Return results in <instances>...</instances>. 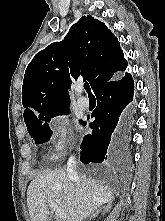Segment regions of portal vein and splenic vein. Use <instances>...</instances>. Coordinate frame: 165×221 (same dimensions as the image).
Returning a JSON list of instances; mask_svg holds the SVG:
<instances>
[{
    "mask_svg": "<svg viewBox=\"0 0 165 221\" xmlns=\"http://www.w3.org/2000/svg\"><path fill=\"white\" fill-rule=\"evenodd\" d=\"M49 206L50 208L54 211L55 216L57 218H60L62 220H65L67 218L66 213L64 212V210H62L61 208H59L55 203L53 202H49Z\"/></svg>",
    "mask_w": 165,
    "mask_h": 221,
    "instance_id": "portal-vein-and-splenic-vein-1",
    "label": "portal vein and splenic vein"
}]
</instances>
